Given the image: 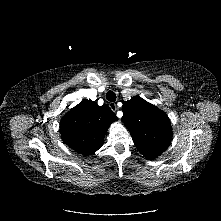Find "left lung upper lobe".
I'll return each mask as SVG.
<instances>
[{
  "label": "left lung upper lobe",
  "mask_w": 221,
  "mask_h": 221,
  "mask_svg": "<svg viewBox=\"0 0 221 221\" xmlns=\"http://www.w3.org/2000/svg\"><path fill=\"white\" fill-rule=\"evenodd\" d=\"M122 109V122L141 154L154 159L167 149L172 129L165 112L138 96L126 101Z\"/></svg>",
  "instance_id": "5c2ea615"
}]
</instances>
